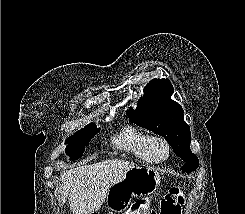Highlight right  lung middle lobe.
<instances>
[{"instance_id":"1","label":"right lung middle lobe","mask_w":245,"mask_h":214,"mask_svg":"<svg viewBox=\"0 0 245 214\" xmlns=\"http://www.w3.org/2000/svg\"><path fill=\"white\" fill-rule=\"evenodd\" d=\"M99 129L94 123H90L84 129L76 132L73 136L69 137L66 142L68 146L66 153L71 160L79 159L85 151V146L96 135Z\"/></svg>"}]
</instances>
